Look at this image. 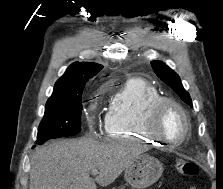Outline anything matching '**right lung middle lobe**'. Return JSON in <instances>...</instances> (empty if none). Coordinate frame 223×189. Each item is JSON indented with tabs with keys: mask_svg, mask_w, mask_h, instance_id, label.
I'll use <instances>...</instances> for the list:
<instances>
[{
	"mask_svg": "<svg viewBox=\"0 0 223 189\" xmlns=\"http://www.w3.org/2000/svg\"><path fill=\"white\" fill-rule=\"evenodd\" d=\"M82 92L83 90L72 95H52L48 99L38 128L37 144L81 132Z\"/></svg>",
	"mask_w": 223,
	"mask_h": 189,
	"instance_id": "dd1d6c3e",
	"label": "right lung middle lobe"
}]
</instances>
